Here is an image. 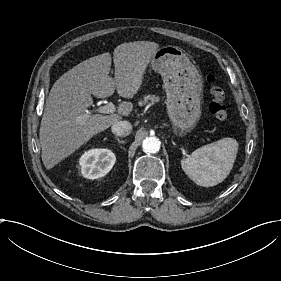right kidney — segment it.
Segmentation results:
<instances>
[{"mask_svg": "<svg viewBox=\"0 0 281 281\" xmlns=\"http://www.w3.org/2000/svg\"><path fill=\"white\" fill-rule=\"evenodd\" d=\"M116 161L115 154L109 149H90L79 158L83 177L98 179L105 176Z\"/></svg>", "mask_w": 281, "mask_h": 281, "instance_id": "1", "label": "right kidney"}]
</instances>
